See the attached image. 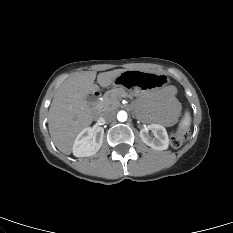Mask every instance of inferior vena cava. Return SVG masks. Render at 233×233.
Here are the masks:
<instances>
[{"label": "inferior vena cava", "mask_w": 233, "mask_h": 233, "mask_svg": "<svg viewBox=\"0 0 233 233\" xmlns=\"http://www.w3.org/2000/svg\"><path fill=\"white\" fill-rule=\"evenodd\" d=\"M102 119L107 122H111L115 119V113L113 111L107 110L102 113Z\"/></svg>", "instance_id": "1"}]
</instances>
